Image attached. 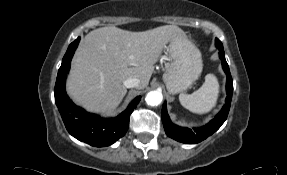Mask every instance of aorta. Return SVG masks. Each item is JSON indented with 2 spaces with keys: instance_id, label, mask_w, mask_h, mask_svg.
<instances>
[{
  "instance_id": "aorta-1",
  "label": "aorta",
  "mask_w": 287,
  "mask_h": 175,
  "mask_svg": "<svg viewBox=\"0 0 287 175\" xmlns=\"http://www.w3.org/2000/svg\"><path fill=\"white\" fill-rule=\"evenodd\" d=\"M163 100V95L160 91H150L145 98V101L150 106H158Z\"/></svg>"
}]
</instances>
